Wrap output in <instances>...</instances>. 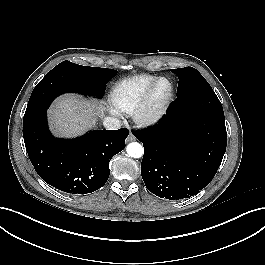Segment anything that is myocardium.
Returning a JSON list of instances; mask_svg holds the SVG:
<instances>
[{"label": "myocardium", "instance_id": "f54148a6", "mask_svg": "<svg viewBox=\"0 0 265 265\" xmlns=\"http://www.w3.org/2000/svg\"><path fill=\"white\" fill-rule=\"evenodd\" d=\"M166 80L170 85L169 93L159 106H153L155 90L160 81ZM175 94L173 81L166 76L156 77L149 85L138 105L132 112L134 122L140 127H150L159 122L168 112Z\"/></svg>", "mask_w": 265, "mask_h": 265}]
</instances>
